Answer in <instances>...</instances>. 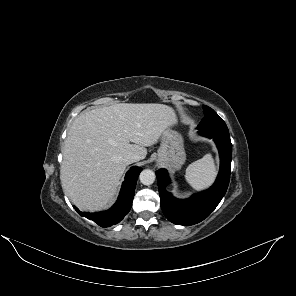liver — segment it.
Instances as JSON below:
<instances>
[{"mask_svg":"<svg viewBox=\"0 0 296 296\" xmlns=\"http://www.w3.org/2000/svg\"><path fill=\"white\" fill-rule=\"evenodd\" d=\"M176 122L174 110L157 103H119L81 114L63 148L60 179L65 194L81 210L104 208L125 171L124 155L144 159L145 147L157 143Z\"/></svg>","mask_w":296,"mask_h":296,"instance_id":"liver-1","label":"liver"}]
</instances>
